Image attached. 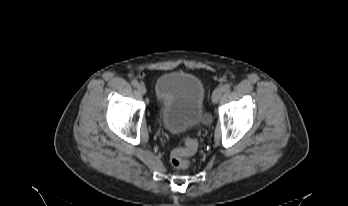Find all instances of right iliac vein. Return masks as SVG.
<instances>
[{
    "instance_id": "1",
    "label": "right iliac vein",
    "mask_w": 348,
    "mask_h": 206,
    "mask_svg": "<svg viewBox=\"0 0 348 206\" xmlns=\"http://www.w3.org/2000/svg\"><path fill=\"white\" fill-rule=\"evenodd\" d=\"M137 90L141 95L146 94V87L143 84L138 85Z\"/></svg>"
}]
</instances>
